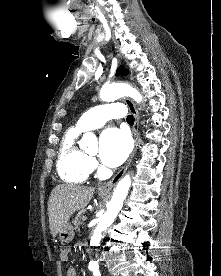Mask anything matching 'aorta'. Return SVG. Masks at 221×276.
<instances>
[{
    "mask_svg": "<svg viewBox=\"0 0 221 276\" xmlns=\"http://www.w3.org/2000/svg\"><path fill=\"white\" fill-rule=\"evenodd\" d=\"M122 96H130L137 103L142 101L141 94L131 86L124 83H116L107 86H103L100 91V99L102 101H113ZM94 135L87 132L82 137V142L88 144ZM131 186L130 175H125L117 184L114 189L111 201L107 204V211L99 218V223L95 228L94 234L91 238V244L93 246H98L101 239L102 233L105 231L115 220L117 214L123 206V202L128 194L129 188Z\"/></svg>",
    "mask_w": 221,
    "mask_h": 276,
    "instance_id": "aorta-1",
    "label": "aorta"
}]
</instances>
